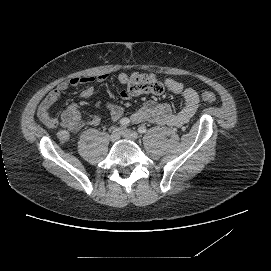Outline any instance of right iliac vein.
Returning <instances> with one entry per match:
<instances>
[{"instance_id": "63e3f726", "label": "right iliac vein", "mask_w": 271, "mask_h": 271, "mask_svg": "<svg viewBox=\"0 0 271 271\" xmlns=\"http://www.w3.org/2000/svg\"><path fill=\"white\" fill-rule=\"evenodd\" d=\"M120 135H121V129L120 128H115L112 131L111 136H110L111 141L116 142L120 138Z\"/></svg>"}]
</instances>
